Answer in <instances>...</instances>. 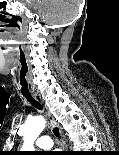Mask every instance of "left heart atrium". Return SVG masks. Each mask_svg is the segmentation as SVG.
Returning a JSON list of instances; mask_svg holds the SVG:
<instances>
[{
  "label": "left heart atrium",
  "mask_w": 119,
  "mask_h": 155,
  "mask_svg": "<svg viewBox=\"0 0 119 155\" xmlns=\"http://www.w3.org/2000/svg\"><path fill=\"white\" fill-rule=\"evenodd\" d=\"M50 155H59V154H57V153H52V154H50Z\"/></svg>",
  "instance_id": "1"
}]
</instances>
